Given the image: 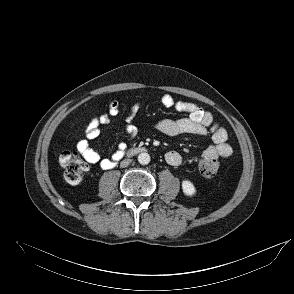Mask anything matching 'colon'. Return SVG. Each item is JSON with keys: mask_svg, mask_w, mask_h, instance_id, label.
I'll return each mask as SVG.
<instances>
[{"mask_svg": "<svg viewBox=\"0 0 294 294\" xmlns=\"http://www.w3.org/2000/svg\"><path fill=\"white\" fill-rule=\"evenodd\" d=\"M59 163L64 169L65 180L72 185L82 182L87 164L79 153L71 150H62L59 155ZM199 171L202 176L210 178L217 174L219 162L216 158L202 157L199 160Z\"/></svg>", "mask_w": 294, "mask_h": 294, "instance_id": "5ec220e1", "label": "colon"}]
</instances>
